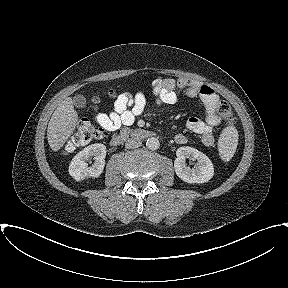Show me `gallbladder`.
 Listing matches in <instances>:
<instances>
[{
	"label": "gallbladder",
	"instance_id": "obj_1",
	"mask_svg": "<svg viewBox=\"0 0 288 288\" xmlns=\"http://www.w3.org/2000/svg\"><path fill=\"white\" fill-rule=\"evenodd\" d=\"M73 102L77 108H84L86 106V98L80 94L73 97Z\"/></svg>",
	"mask_w": 288,
	"mask_h": 288
}]
</instances>
